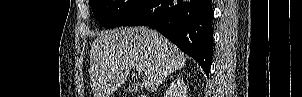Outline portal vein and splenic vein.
<instances>
[{"label": "portal vein and splenic vein", "instance_id": "1", "mask_svg": "<svg viewBox=\"0 0 302 97\" xmlns=\"http://www.w3.org/2000/svg\"><path fill=\"white\" fill-rule=\"evenodd\" d=\"M136 71L138 73H142L144 71V65H141V64L136 65Z\"/></svg>", "mask_w": 302, "mask_h": 97}]
</instances>
